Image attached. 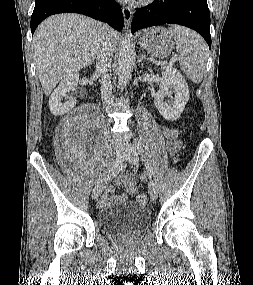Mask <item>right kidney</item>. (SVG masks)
<instances>
[{"label": "right kidney", "instance_id": "1", "mask_svg": "<svg viewBox=\"0 0 253 285\" xmlns=\"http://www.w3.org/2000/svg\"><path fill=\"white\" fill-rule=\"evenodd\" d=\"M78 81V73L69 74L61 80L58 87L53 91L49 98V107L52 114L56 116L64 115L76 105L75 98H72L65 103H62V98L78 83Z\"/></svg>", "mask_w": 253, "mask_h": 285}]
</instances>
